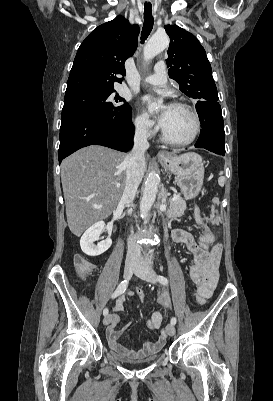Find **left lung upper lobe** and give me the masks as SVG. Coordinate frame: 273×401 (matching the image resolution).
Listing matches in <instances>:
<instances>
[{
  "instance_id": "5c2ea615",
  "label": "left lung upper lobe",
  "mask_w": 273,
  "mask_h": 401,
  "mask_svg": "<svg viewBox=\"0 0 273 401\" xmlns=\"http://www.w3.org/2000/svg\"><path fill=\"white\" fill-rule=\"evenodd\" d=\"M170 37L168 74L188 97L203 101H217V88L211 65L198 39L176 25L164 26Z\"/></svg>"
}]
</instances>
